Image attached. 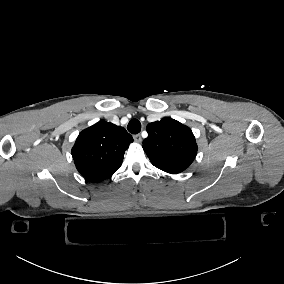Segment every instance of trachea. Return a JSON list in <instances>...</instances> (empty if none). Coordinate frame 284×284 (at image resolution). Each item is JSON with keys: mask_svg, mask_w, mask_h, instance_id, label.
I'll return each mask as SVG.
<instances>
[{"mask_svg": "<svg viewBox=\"0 0 284 284\" xmlns=\"http://www.w3.org/2000/svg\"><path fill=\"white\" fill-rule=\"evenodd\" d=\"M127 129L132 134H138L141 131V123L138 119H132L127 126Z\"/></svg>", "mask_w": 284, "mask_h": 284, "instance_id": "obj_1", "label": "trachea"}]
</instances>
